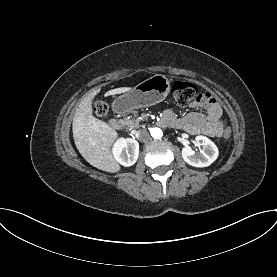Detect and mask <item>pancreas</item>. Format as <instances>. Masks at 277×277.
<instances>
[{"instance_id": "pancreas-1", "label": "pancreas", "mask_w": 277, "mask_h": 277, "mask_svg": "<svg viewBox=\"0 0 277 277\" xmlns=\"http://www.w3.org/2000/svg\"><path fill=\"white\" fill-rule=\"evenodd\" d=\"M141 120H142L141 117H138L136 112H134V117L133 118H129V117L126 118L125 123L131 129L132 128H139V127H141V125H140Z\"/></svg>"}]
</instances>
